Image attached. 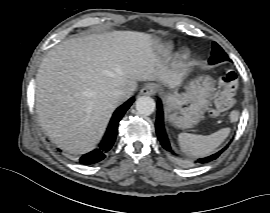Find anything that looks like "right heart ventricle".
Returning a JSON list of instances; mask_svg holds the SVG:
<instances>
[{"label":"right heart ventricle","mask_w":270,"mask_h":213,"mask_svg":"<svg viewBox=\"0 0 270 213\" xmlns=\"http://www.w3.org/2000/svg\"><path fill=\"white\" fill-rule=\"evenodd\" d=\"M171 50H172V45H171V44H167V45L161 47V48L159 49V52H160L161 54H166V53H169Z\"/></svg>","instance_id":"right-heart-ventricle-1"}]
</instances>
